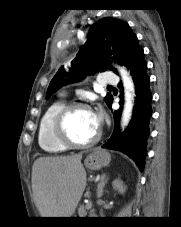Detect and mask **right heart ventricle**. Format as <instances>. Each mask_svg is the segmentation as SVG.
<instances>
[{"label": "right heart ventricle", "mask_w": 181, "mask_h": 227, "mask_svg": "<svg viewBox=\"0 0 181 227\" xmlns=\"http://www.w3.org/2000/svg\"><path fill=\"white\" fill-rule=\"evenodd\" d=\"M65 105L63 99L51 103L43 113L38 130V143L42 150L50 154L65 152L68 147L57 140L53 132V120L58 111Z\"/></svg>", "instance_id": "right-heart-ventricle-1"}]
</instances>
